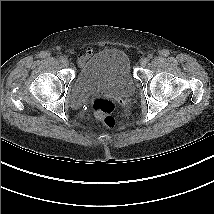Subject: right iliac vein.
<instances>
[{
    "mask_svg": "<svg viewBox=\"0 0 214 214\" xmlns=\"http://www.w3.org/2000/svg\"><path fill=\"white\" fill-rule=\"evenodd\" d=\"M69 63H70V61H69L68 59H65V60L63 61V64L66 65V66L69 65Z\"/></svg>",
    "mask_w": 214,
    "mask_h": 214,
    "instance_id": "1",
    "label": "right iliac vein"
}]
</instances>
